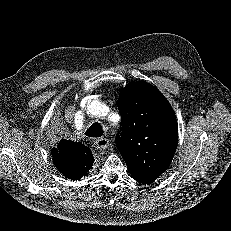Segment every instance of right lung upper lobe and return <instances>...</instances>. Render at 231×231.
Here are the masks:
<instances>
[{"instance_id": "1", "label": "right lung upper lobe", "mask_w": 231, "mask_h": 231, "mask_svg": "<svg viewBox=\"0 0 231 231\" xmlns=\"http://www.w3.org/2000/svg\"><path fill=\"white\" fill-rule=\"evenodd\" d=\"M51 152L55 166L69 179H80L94 162L91 150L80 142L63 139Z\"/></svg>"}]
</instances>
